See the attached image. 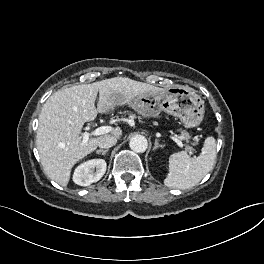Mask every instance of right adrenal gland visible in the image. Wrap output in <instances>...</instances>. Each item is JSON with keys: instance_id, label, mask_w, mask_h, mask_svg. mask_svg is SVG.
<instances>
[{"instance_id": "1", "label": "right adrenal gland", "mask_w": 264, "mask_h": 264, "mask_svg": "<svg viewBox=\"0 0 264 264\" xmlns=\"http://www.w3.org/2000/svg\"><path fill=\"white\" fill-rule=\"evenodd\" d=\"M109 149L103 150V149H99L96 151L97 154H101V155H106L108 153Z\"/></svg>"}]
</instances>
